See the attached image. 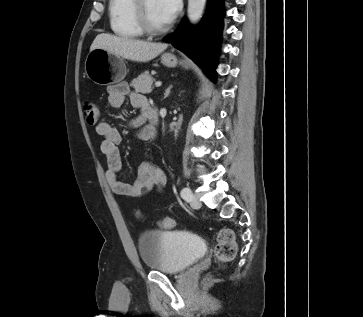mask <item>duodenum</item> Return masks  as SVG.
I'll return each mask as SVG.
<instances>
[{
  "mask_svg": "<svg viewBox=\"0 0 363 317\" xmlns=\"http://www.w3.org/2000/svg\"><path fill=\"white\" fill-rule=\"evenodd\" d=\"M148 115L150 119V127H148V139L154 140L157 138L156 124L158 122V118L156 108H149Z\"/></svg>",
  "mask_w": 363,
  "mask_h": 317,
  "instance_id": "410a0bca",
  "label": "duodenum"
}]
</instances>
